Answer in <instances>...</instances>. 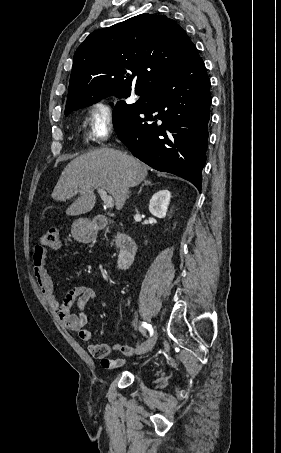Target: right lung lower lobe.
I'll return each instance as SVG.
<instances>
[{
  "instance_id": "1",
  "label": "right lung lower lobe",
  "mask_w": 281,
  "mask_h": 453,
  "mask_svg": "<svg viewBox=\"0 0 281 453\" xmlns=\"http://www.w3.org/2000/svg\"><path fill=\"white\" fill-rule=\"evenodd\" d=\"M209 89L210 80L198 55L136 103L117 102L113 110L117 136L144 163L178 175L201 191L212 101Z\"/></svg>"
}]
</instances>
